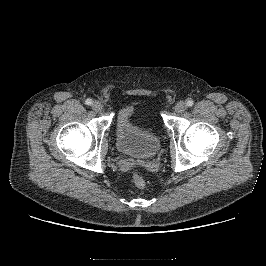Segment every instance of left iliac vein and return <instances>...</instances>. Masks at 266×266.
I'll return each mask as SVG.
<instances>
[{"label": "left iliac vein", "mask_w": 266, "mask_h": 266, "mask_svg": "<svg viewBox=\"0 0 266 266\" xmlns=\"http://www.w3.org/2000/svg\"><path fill=\"white\" fill-rule=\"evenodd\" d=\"M187 109V104L183 101H180L178 102L176 105H175V111L178 112V113H182L184 112L185 110Z\"/></svg>", "instance_id": "1"}]
</instances>
